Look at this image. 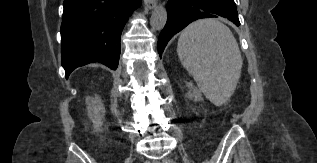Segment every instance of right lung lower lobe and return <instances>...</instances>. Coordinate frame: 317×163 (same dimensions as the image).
Wrapping results in <instances>:
<instances>
[{
	"instance_id": "obj_1",
	"label": "right lung lower lobe",
	"mask_w": 317,
	"mask_h": 163,
	"mask_svg": "<svg viewBox=\"0 0 317 163\" xmlns=\"http://www.w3.org/2000/svg\"><path fill=\"white\" fill-rule=\"evenodd\" d=\"M140 4L141 0H64L60 32L66 79L92 62L117 68L122 30Z\"/></svg>"
}]
</instances>
